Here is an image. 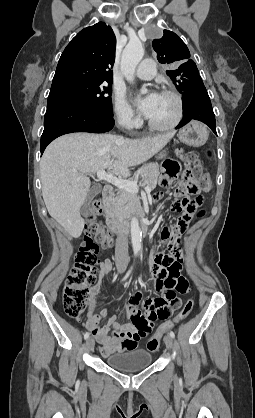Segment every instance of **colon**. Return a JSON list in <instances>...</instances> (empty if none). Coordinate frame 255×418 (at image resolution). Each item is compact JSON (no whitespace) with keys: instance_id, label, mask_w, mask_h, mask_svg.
Masks as SVG:
<instances>
[{"instance_id":"1","label":"colon","mask_w":255,"mask_h":418,"mask_svg":"<svg viewBox=\"0 0 255 418\" xmlns=\"http://www.w3.org/2000/svg\"><path fill=\"white\" fill-rule=\"evenodd\" d=\"M183 176L185 179L183 185L184 192L199 194L200 192H208L212 188L209 174L202 170L197 159L193 157L188 159V164L184 168ZM201 204L202 197L199 195L194 199L182 197L175 204V213H183L181 218L184 221L190 222ZM102 212L103 203L101 199H94L87 209L86 218L88 224L86 226L83 241L74 257L73 266L63 288L64 309L72 318L79 319L83 316L89 296L91 295V287L96 282L99 272L100 260L98 258V253L100 249H107L112 244L110 232L97 221V218ZM201 215L202 212H199L198 216ZM193 307L194 300L188 299L183 304V308L180 309L177 316L173 320L164 323L163 327H160L156 334L149 339L146 345L147 349L151 352L158 350L162 335L168 329L184 320L190 314Z\"/></svg>"}]
</instances>
